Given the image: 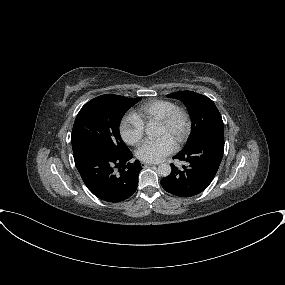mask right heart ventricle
Here are the masks:
<instances>
[{"mask_svg": "<svg viewBox=\"0 0 285 285\" xmlns=\"http://www.w3.org/2000/svg\"><path fill=\"white\" fill-rule=\"evenodd\" d=\"M176 107L177 105L169 100H151L139 106L134 114L143 124H149L158 122Z\"/></svg>", "mask_w": 285, "mask_h": 285, "instance_id": "right-heart-ventricle-1", "label": "right heart ventricle"}]
</instances>
